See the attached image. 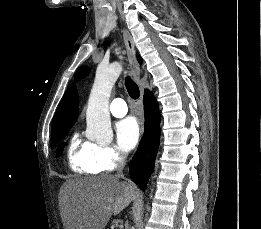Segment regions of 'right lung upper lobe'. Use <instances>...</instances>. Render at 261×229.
<instances>
[{"mask_svg": "<svg viewBox=\"0 0 261 229\" xmlns=\"http://www.w3.org/2000/svg\"><path fill=\"white\" fill-rule=\"evenodd\" d=\"M139 62L142 59L137 55ZM78 117V95L76 88L71 85L60 101L53 118L52 127L61 124H74Z\"/></svg>", "mask_w": 261, "mask_h": 229, "instance_id": "obj_1", "label": "right lung upper lobe"}]
</instances>
